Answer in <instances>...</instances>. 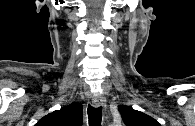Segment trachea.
<instances>
[{"label":"trachea","mask_w":195,"mask_h":126,"mask_svg":"<svg viewBox=\"0 0 195 126\" xmlns=\"http://www.w3.org/2000/svg\"><path fill=\"white\" fill-rule=\"evenodd\" d=\"M88 120L89 126H101L102 119V107H93L91 105L88 106Z\"/></svg>","instance_id":"trachea-1"}]
</instances>
